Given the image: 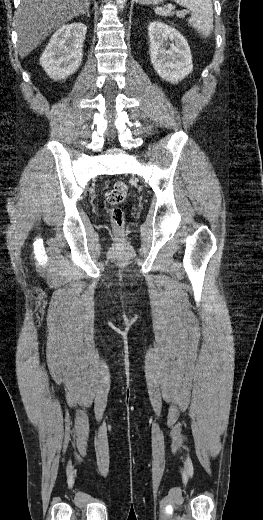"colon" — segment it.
<instances>
[{
	"label": "colon",
	"mask_w": 263,
	"mask_h": 520,
	"mask_svg": "<svg viewBox=\"0 0 263 520\" xmlns=\"http://www.w3.org/2000/svg\"><path fill=\"white\" fill-rule=\"evenodd\" d=\"M128 192L127 184L122 181H117L105 193V200L110 206L109 215L111 223L116 229H120L124 225V211L119 205L125 200Z\"/></svg>",
	"instance_id": "colon-1"
}]
</instances>
